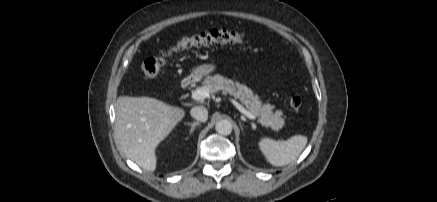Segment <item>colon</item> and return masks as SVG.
I'll list each match as a JSON object with an SVG mask.
<instances>
[{
	"label": "colon",
	"instance_id": "obj_1",
	"mask_svg": "<svg viewBox=\"0 0 437 202\" xmlns=\"http://www.w3.org/2000/svg\"><path fill=\"white\" fill-rule=\"evenodd\" d=\"M245 34L229 31L226 29H213L197 35L182 37L175 42L164 54L147 58L142 64V73L147 80L154 79L165 63V56L175 52L183 51L192 47L207 46L215 43L219 44H236L244 42ZM290 106L295 111H299L303 106V100L300 96L290 98Z\"/></svg>",
	"mask_w": 437,
	"mask_h": 202
}]
</instances>
